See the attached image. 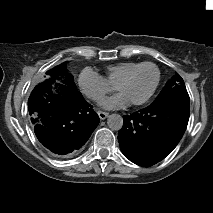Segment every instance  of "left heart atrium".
<instances>
[{"mask_svg":"<svg viewBox=\"0 0 213 213\" xmlns=\"http://www.w3.org/2000/svg\"><path fill=\"white\" fill-rule=\"evenodd\" d=\"M128 103L129 101L124 97L123 94L117 93L103 101L101 106L107 110H114L125 107L128 105Z\"/></svg>","mask_w":213,"mask_h":213,"instance_id":"left-heart-atrium-1","label":"left heart atrium"}]
</instances>
